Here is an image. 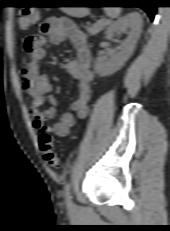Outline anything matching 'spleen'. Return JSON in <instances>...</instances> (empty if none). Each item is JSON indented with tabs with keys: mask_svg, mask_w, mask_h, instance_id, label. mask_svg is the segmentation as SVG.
I'll list each match as a JSON object with an SVG mask.
<instances>
[{
	"mask_svg": "<svg viewBox=\"0 0 170 231\" xmlns=\"http://www.w3.org/2000/svg\"><path fill=\"white\" fill-rule=\"evenodd\" d=\"M104 11L107 16L111 18H116L119 16L121 9L119 7H106L104 8Z\"/></svg>",
	"mask_w": 170,
	"mask_h": 231,
	"instance_id": "3e777b00",
	"label": "spleen"
}]
</instances>
